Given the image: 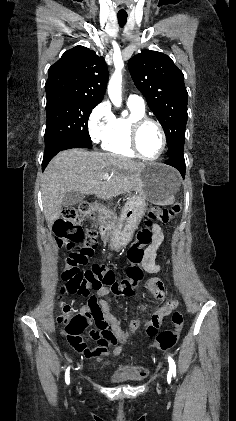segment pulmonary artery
<instances>
[{"label":"pulmonary artery","instance_id":"obj_1","mask_svg":"<svg viewBox=\"0 0 236 421\" xmlns=\"http://www.w3.org/2000/svg\"><path fill=\"white\" fill-rule=\"evenodd\" d=\"M127 101H128V103L136 104L138 106H142V107L145 106L144 99L140 96H137V95H129Z\"/></svg>","mask_w":236,"mask_h":421}]
</instances>
